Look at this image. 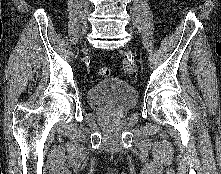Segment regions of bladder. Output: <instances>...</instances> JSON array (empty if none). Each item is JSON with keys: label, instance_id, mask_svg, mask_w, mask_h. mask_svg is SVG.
<instances>
[{"label": "bladder", "instance_id": "31cf9c89", "mask_svg": "<svg viewBox=\"0 0 221 174\" xmlns=\"http://www.w3.org/2000/svg\"><path fill=\"white\" fill-rule=\"evenodd\" d=\"M89 105L96 110H129L138 101L136 89L126 81L108 76L92 85L87 93Z\"/></svg>", "mask_w": 221, "mask_h": 174}]
</instances>
